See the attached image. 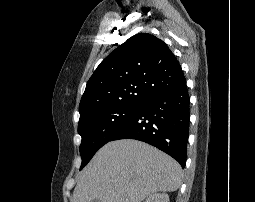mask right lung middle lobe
<instances>
[{
	"label": "right lung middle lobe",
	"mask_w": 255,
	"mask_h": 202,
	"mask_svg": "<svg viewBox=\"0 0 255 202\" xmlns=\"http://www.w3.org/2000/svg\"><path fill=\"white\" fill-rule=\"evenodd\" d=\"M141 105H117L106 107L80 118L78 133L82 137L80 170L93 155L133 117Z\"/></svg>",
	"instance_id": "obj_1"
}]
</instances>
